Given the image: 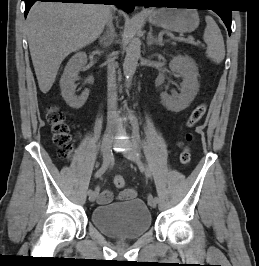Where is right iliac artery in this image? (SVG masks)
Wrapping results in <instances>:
<instances>
[{
	"mask_svg": "<svg viewBox=\"0 0 259 266\" xmlns=\"http://www.w3.org/2000/svg\"><path fill=\"white\" fill-rule=\"evenodd\" d=\"M108 166H109V159H106V160H104L101 168L95 173V178L101 177L105 173V171L107 170ZM91 192H92V190L90 189L88 191V194H90Z\"/></svg>",
	"mask_w": 259,
	"mask_h": 266,
	"instance_id": "right-iliac-artery-1",
	"label": "right iliac artery"
}]
</instances>
